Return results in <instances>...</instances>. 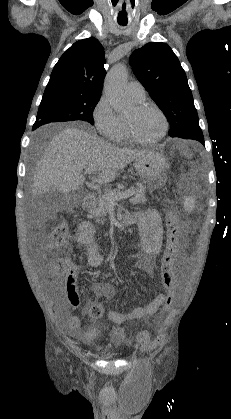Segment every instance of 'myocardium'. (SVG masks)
I'll return each mask as SVG.
<instances>
[{
    "label": "myocardium",
    "instance_id": "obj_1",
    "mask_svg": "<svg viewBox=\"0 0 231 419\" xmlns=\"http://www.w3.org/2000/svg\"><path fill=\"white\" fill-rule=\"evenodd\" d=\"M138 111H143V110H147V109H151L156 111L162 118L163 121V129L160 132V134H158L156 137L152 138V139H141L138 136L135 135V133L133 132L131 123L128 119H126L125 124H126V134L128 136V138L139 145H152L155 144L157 142H159L162 138H164V136L167 134L168 130H169V121L168 118L166 116V114L164 113V111L158 107L156 104L153 103H147V102H141L139 104H137V106L135 107Z\"/></svg>",
    "mask_w": 231,
    "mask_h": 419
}]
</instances>
